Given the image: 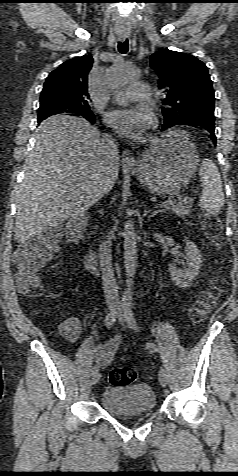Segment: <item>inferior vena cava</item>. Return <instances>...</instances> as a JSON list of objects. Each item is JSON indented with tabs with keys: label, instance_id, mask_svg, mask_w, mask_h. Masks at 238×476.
Instances as JSON below:
<instances>
[{
	"label": "inferior vena cava",
	"instance_id": "1",
	"mask_svg": "<svg viewBox=\"0 0 238 476\" xmlns=\"http://www.w3.org/2000/svg\"><path fill=\"white\" fill-rule=\"evenodd\" d=\"M101 147L103 149L105 158L110 165L118 162V144L115 141L104 138L102 140ZM98 251L106 303L109 307L119 308L120 301L118 286L112 269L110 238L108 236L107 239L100 242Z\"/></svg>",
	"mask_w": 238,
	"mask_h": 476
}]
</instances>
